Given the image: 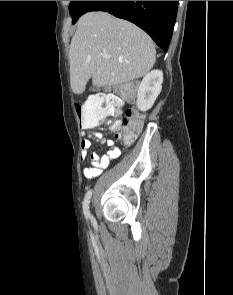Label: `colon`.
Segmentation results:
<instances>
[{"instance_id":"colon-1","label":"colon","mask_w":233,"mask_h":295,"mask_svg":"<svg viewBox=\"0 0 233 295\" xmlns=\"http://www.w3.org/2000/svg\"><path fill=\"white\" fill-rule=\"evenodd\" d=\"M137 90L135 82H129L108 88L109 93H97L84 104H77V113L81 124L89 126L107 116H117L121 113V97H132ZM143 116L133 109H127L121 122H116L112 128L117 131V137L125 143H131L141 131Z\"/></svg>"}]
</instances>
